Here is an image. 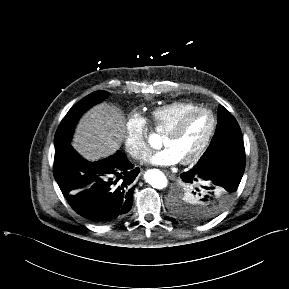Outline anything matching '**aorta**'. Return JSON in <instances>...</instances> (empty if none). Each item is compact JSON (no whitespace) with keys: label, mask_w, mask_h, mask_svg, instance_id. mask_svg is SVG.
Returning <instances> with one entry per match:
<instances>
[{"label":"aorta","mask_w":289,"mask_h":289,"mask_svg":"<svg viewBox=\"0 0 289 289\" xmlns=\"http://www.w3.org/2000/svg\"><path fill=\"white\" fill-rule=\"evenodd\" d=\"M155 140H156L155 135H152L149 138V141L151 144H153ZM144 178H145L146 182L149 183L153 188L163 189L167 186L166 176L164 175V173H162L158 169L148 170L145 173Z\"/></svg>","instance_id":"obj_1"}]
</instances>
